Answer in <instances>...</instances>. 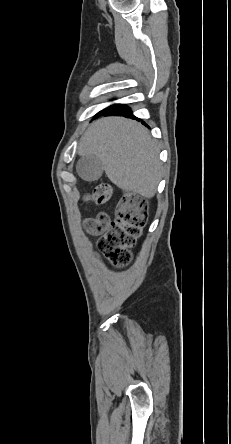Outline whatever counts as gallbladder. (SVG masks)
I'll list each match as a JSON object with an SVG mask.
<instances>
[{
	"mask_svg": "<svg viewBox=\"0 0 231 444\" xmlns=\"http://www.w3.org/2000/svg\"><path fill=\"white\" fill-rule=\"evenodd\" d=\"M78 175L85 181H96L103 173L101 160L95 155L82 156L77 162Z\"/></svg>",
	"mask_w": 231,
	"mask_h": 444,
	"instance_id": "bac80fb5",
	"label": "gallbladder"
}]
</instances>
